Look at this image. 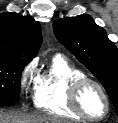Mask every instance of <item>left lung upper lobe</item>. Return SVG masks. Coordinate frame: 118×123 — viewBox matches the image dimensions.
<instances>
[{"label":"left lung upper lobe","instance_id":"5c2ea615","mask_svg":"<svg viewBox=\"0 0 118 123\" xmlns=\"http://www.w3.org/2000/svg\"><path fill=\"white\" fill-rule=\"evenodd\" d=\"M58 41L102 83L118 115V50L89 15L53 23Z\"/></svg>","mask_w":118,"mask_h":123}]
</instances>
